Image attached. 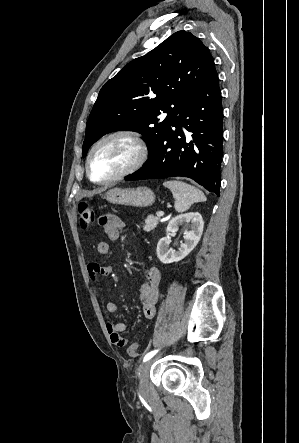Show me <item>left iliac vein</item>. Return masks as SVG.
<instances>
[{
  "label": "left iliac vein",
  "mask_w": 299,
  "mask_h": 443,
  "mask_svg": "<svg viewBox=\"0 0 299 443\" xmlns=\"http://www.w3.org/2000/svg\"><path fill=\"white\" fill-rule=\"evenodd\" d=\"M152 362L153 360H148L141 367L140 376H139V391L142 395H146L148 393L149 373Z\"/></svg>",
  "instance_id": "1"
}]
</instances>
